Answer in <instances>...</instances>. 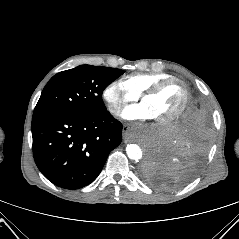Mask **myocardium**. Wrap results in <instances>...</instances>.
<instances>
[{
  "label": "myocardium",
  "instance_id": "obj_1",
  "mask_svg": "<svg viewBox=\"0 0 239 239\" xmlns=\"http://www.w3.org/2000/svg\"><path fill=\"white\" fill-rule=\"evenodd\" d=\"M170 84H178L183 91L184 98H183L181 107L174 114L170 115L169 117H167L165 119L157 120L161 124L169 123V122H172V121L180 118L183 115V113L186 111L189 101H190V92H189L188 87L180 79L170 77V78L161 80V81L151 85L146 90H144L141 94V100L143 101L146 97L153 96V95L159 93L164 87H166Z\"/></svg>",
  "mask_w": 239,
  "mask_h": 239
}]
</instances>
